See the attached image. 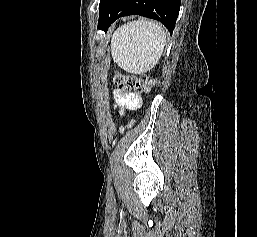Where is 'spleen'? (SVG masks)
Returning <instances> with one entry per match:
<instances>
[{
	"label": "spleen",
	"mask_w": 257,
	"mask_h": 237,
	"mask_svg": "<svg viewBox=\"0 0 257 237\" xmlns=\"http://www.w3.org/2000/svg\"><path fill=\"white\" fill-rule=\"evenodd\" d=\"M165 42V31L158 23L132 21L114 32L111 39L112 58L129 73H145L158 63Z\"/></svg>",
	"instance_id": "1"
}]
</instances>
